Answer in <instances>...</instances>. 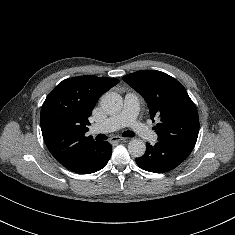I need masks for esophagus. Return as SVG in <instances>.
<instances>
[{
    "label": "esophagus",
    "mask_w": 235,
    "mask_h": 235,
    "mask_svg": "<svg viewBox=\"0 0 235 235\" xmlns=\"http://www.w3.org/2000/svg\"><path fill=\"white\" fill-rule=\"evenodd\" d=\"M125 140L126 138H123L121 136H113L110 138L109 142L115 144V143H118L120 141H125Z\"/></svg>",
    "instance_id": "esophagus-1"
}]
</instances>
